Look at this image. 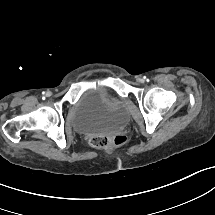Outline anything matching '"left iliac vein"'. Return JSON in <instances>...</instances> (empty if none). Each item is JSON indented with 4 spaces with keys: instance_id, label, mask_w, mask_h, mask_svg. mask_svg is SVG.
<instances>
[{
    "instance_id": "obj_1",
    "label": "left iliac vein",
    "mask_w": 215,
    "mask_h": 215,
    "mask_svg": "<svg viewBox=\"0 0 215 215\" xmlns=\"http://www.w3.org/2000/svg\"><path fill=\"white\" fill-rule=\"evenodd\" d=\"M143 81H144L143 78H138L139 83H142Z\"/></svg>"
}]
</instances>
